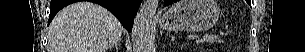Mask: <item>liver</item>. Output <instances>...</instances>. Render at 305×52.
<instances>
[{
  "label": "liver",
  "mask_w": 305,
  "mask_h": 52,
  "mask_svg": "<svg viewBox=\"0 0 305 52\" xmlns=\"http://www.w3.org/2000/svg\"><path fill=\"white\" fill-rule=\"evenodd\" d=\"M123 27L107 9L90 2L63 8L49 27L48 52H107Z\"/></svg>",
  "instance_id": "liver-1"
}]
</instances>
